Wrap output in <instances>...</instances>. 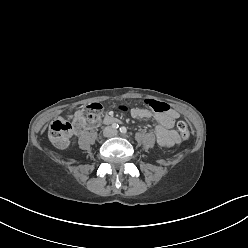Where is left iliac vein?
<instances>
[{"label": "left iliac vein", "instance_id": "4c4485c4", "mask_svg": "<svg viewBox=\"0 0 248 248\" xmlns=\"http://www.w3.org/2000/svg\"><path fill=\"white\" fill-rule=\"evenodd\" d=\"M114 134L117 135V131H114Z\"/></svg>", "mask_w": 248, "mask_h": 248}]
</instances>
